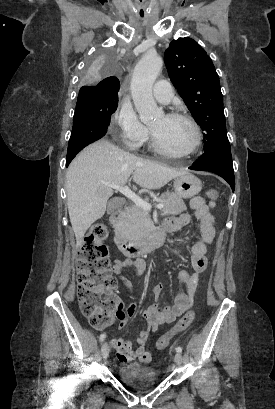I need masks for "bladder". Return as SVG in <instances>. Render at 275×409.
<instances>
[{
    "instance_id": "31cf9c89",
    "label": "bladder",
    "mask_w": 275,
    "mask_h": 409,
    "mask_svg": "<svg viewBox=\"0 0 275 409\" xmlns=\"http://www.w3.org/2000/svg\"><path fill=\"white\" fill-rule=\"evenodd\" d=\"M116 376L119 382L130 387H147L160 382L159 375L155 374L153 367L141 362L123 363L116 369Z\"/></svg>"
}]
</instances>
